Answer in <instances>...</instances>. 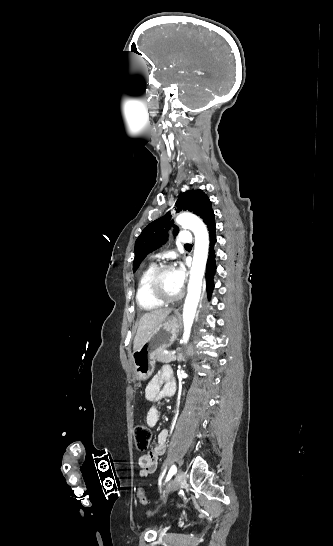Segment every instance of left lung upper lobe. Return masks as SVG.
Masks as SVG:
<instances>
[{
  "instance_id": "left-lung-upper-lobe-1",
  "label": "left lung upper lobe",
  "mask_w": 333,
  "mask_h": 546,
  "mask_svg": "<svg viewBox=\"0 0 333 546\" xmlns=\"http://www.w3.org/2000/svg\"><path fill=\"white\" fill-rule=\"evenodd\" d=\"M212 203L202 190H189L180 195L175 203L176 212L188 210L207 224L214 215ZM171 216L167 213L163 217L151 222L140 234L135 242V259L133 271L135 272L147 254L157 249L166 242L167 231L170 229ZM175 235L178 228L173 225Z\"/></svg>"
}]
</instances>
